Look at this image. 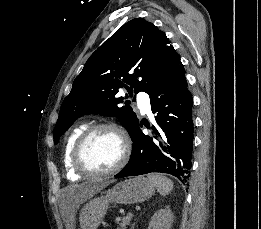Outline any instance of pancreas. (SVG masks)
<instances>
[{"label":"pancreas","mask_w":261,"mask_h":229,"mask_svg":"<svg viewBox=\"0 0 261 229\" xmlns=\"http://www.w3.org/2000/svg\"><path fill=\"white\" fill-rule=\"evenodd\" d=\"M132 217H122L121 221H117V229H127V225H130Z\"/></svg>","instance_id":"pancreas-1"}]
</instances>
